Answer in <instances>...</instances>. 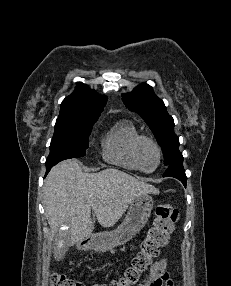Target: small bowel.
<instances>
[{"label": "small bowel", "mask_w": 231, "mask_h": 286, "mask_svg": "<svg viewBox=\"0 0 231 286\" xmlns=\"http://www.w3.org/2000/svg\"><path fill=\"white\" fill-rule=\"evenodd\" d=\"M168 260L166 258L154 261L150 267L149 277L139 286H174L173 280L167 272Z\"/></svg>", "instance_id": "obj_1"}]
</instances>
